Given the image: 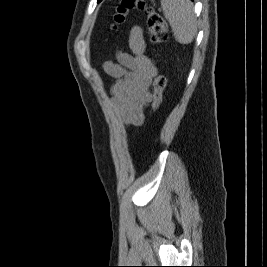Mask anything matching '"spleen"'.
<instances>
[{
  "mask_svg": "<svg viewBox=\"0 0 267 267\" xmlns=\"http://www.w3.org/2000/svg\"><path fill=\"white\" fill-rule=\"evenodd\" d=\"M160 2L164 17L169 22L176 41L181 44L191 43L197 32V22L190 0Z\"/></svg>",
  "mask_w": 267,
  "mask_h": 267,
  "instance_id": "spleen-1",
  "label": "spleen"
}]
</instances>
